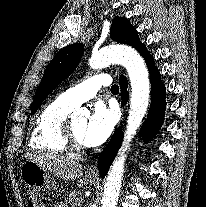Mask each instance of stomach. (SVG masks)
<instances>
[{
	"instance_id": "obj_1",
	"label": "stomach",
	"mask_w": 206,
	"mask_h": 207,
	"mask_svg": "<svg viewBox=\"0 0 206 207\" xmlns=\"http://www.w3.org/2000/svg\"><path fill=\"white\" fill-rule=\"evenodd\" d=\"M20 177L28 187L49 191L56 189V182L51 177L50 172L32 160H27L21 164ZM85 181L89 184L96 182L90 177H85Z\"/></svg>"
}]
</instances>
